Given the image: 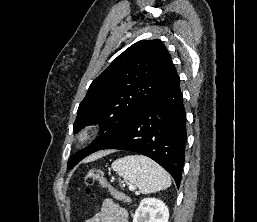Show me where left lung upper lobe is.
Here are the masks:
<instances>
[{
    "label": "left lung upper lobe",
    "mask_w": 257,
    "mask_h": 222,
    "mask_svg": "<svg viewBox=\"0 0 257 222\" xmlns=\"http://www.w3.org/2000/svg\"><path fill=\"white\" fill-rule=\"evenodd\" d=\"M177 75L160 40H141L120 54L90 85L80 103L74 132L101 124V135L68 162L72 168L109 143Z\"/></svg>",
    "instance_id": "1"
}]
</instances>
